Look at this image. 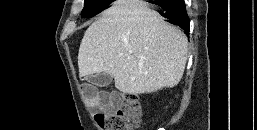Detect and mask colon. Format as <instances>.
<instances>
[{
    "mask_svg": "<svg viewBox=\"0 0 257 130\" xmlns=\"http://www.w3.org/2000/svg\"><path fill=\"white\" fill-rule=\"evenodd\" d=\"M82 91L85 97L91 98L96 93V87L85 84ZM95 119L103 130H134L140 126L142 119L139 97L128 94L120 106L105 113H97Z\"/></svg>",
    "mask_w": 257,
    "mask_h": 130,
    "instance_id": "obj_1",
    "label": "colon"
}]
</instances>
